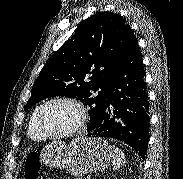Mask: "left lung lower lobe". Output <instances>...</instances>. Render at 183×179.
<instances>
[{
  "label": "left lung lower lobe",
  "instance_id": "obj_1",
  "mask_svg": "<svg viewBox=\"0 0 183 179\" xmlns=\"http://www.w3.org/2000/svg\"><path fill=\"white\" fill-rule=\"evenodd\" d=\"M145 71L138 41L130 30L109 82L107 100L88 136L114 138L145 158L150 127ZM111 106V108H110Z\"/></svg>",
  "mask_w": 183,
  "mask_h": 179
}]
</instances>
